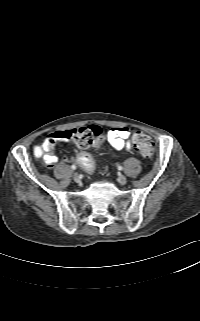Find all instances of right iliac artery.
<instances>
[{"instance_id":"obj_1","label":"right iliac artery","mask_w":200,"mask_h":321,"mask_svg":"<svg viewBox=\"0 0 200 321\" xmlns=\"http://www.w3.org/2000/svg\"><path fill=\"white\" fill-rule=\"evenodd\" d=\"M71 169H72V170H75V169H76V166H75V165H72V166H71Z\"/></svg>"}]
</instances>
